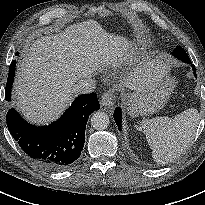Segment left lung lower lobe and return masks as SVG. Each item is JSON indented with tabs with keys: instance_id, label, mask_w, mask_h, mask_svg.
<instances>
[{
	"instance_id": "0a47b994",
	"label": "left lung lower lobe",
	"mask_w": 205,
	"mask_h": 205,
	"mask_svg": "<svg viewBox=\"0 0 205 205\" xmlns=\"http://www.w3.org/2000/svg\"><path fill=\"white\" fill-rule=\"evenodd\" d=\"M188 64H191V62H189ZM191 66H192V70L194 72V75L196 77L195 66L193 64H191ZM114 119H115V122H116V124L118 126V129L121 130V122H122V120H121V109L120 108H117L115 110V112H114Z\"/></svg>"
}]
</instances>
